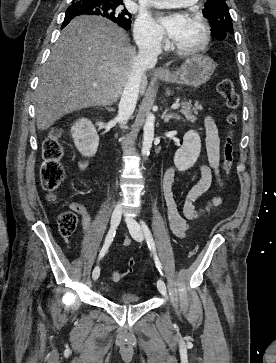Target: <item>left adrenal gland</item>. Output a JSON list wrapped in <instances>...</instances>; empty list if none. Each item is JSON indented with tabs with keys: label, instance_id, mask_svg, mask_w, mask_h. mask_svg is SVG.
Instances as JSON below:
<instances>
[{
	"label": "left adrenal gland",
	"instance_id": "1",
	"mask_svg": "<svg viewBox=\"0 0 276 363\" xmlns=\"http://www.w3.org/2000/svg\"><path fill=\"white\" fill-rule=\"evenodd\" d=\"M168 109H165V111L162 114V118L165 123L169 122L170 119H179L178 115L175 113H169L167 114Z\"/></svg>",
	"mask_w": 276,
	"mask_h": 363
}]
</instances>
